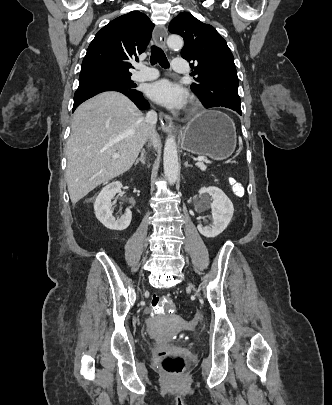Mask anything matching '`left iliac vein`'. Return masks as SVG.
<instances>
[{
	"label": "left iliac vein",
	"instance_id": "left-iliac-vein-1",
	"mask_svg": "<svg viewBox=\"0 0 332 405\" xmlns=\"http://www.w3.org/2000/svg\"><path fill=\"white\" fill-rule=\"evenodd\" d=\"M189 286L193 288V290L196 292L197 295H199V291L195 289L194 285L192 283H189Z\"/></svg>",
	"mask_w": 332,
	"mask_h": 405
}]
</instances>
